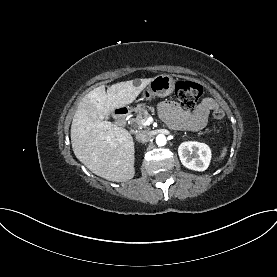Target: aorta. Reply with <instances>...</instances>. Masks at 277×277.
Here are the masks:
<instances>
[{"mask_svg":"<svg viewBox=\"0 0 277 277\" xmlns=\"http://www.w3.org/2000/svg\"><path fill=\"white\" fill-rule=\"evenodd\" d=\"M156 143L159 146H164L167 143L166 136L163 135V134L157 135V137H156Z\"/></svg>","mask_w":277,"mask_h":277,"instance_id":"1","label":"aorta"}]
</instances>
